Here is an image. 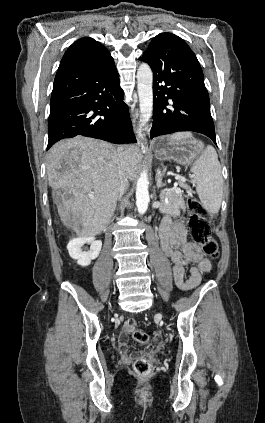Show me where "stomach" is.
<instances>
[{"label":"stomach","instance_id":"stomach-1","mask_svg":"<svg viewBox=\"0 0 265 423\" xmlns=\"http://www.w3.org/2000/svg\"><path fill=\"white\" fill-rule=\"evenodd\" d=\"M201 141L191 138L173 140L171 137H161L155 145V156L159 160H174L183 165H190L203 153Z\"/></svg>","mask_w":265,"mask_h":423}]
</instances>
